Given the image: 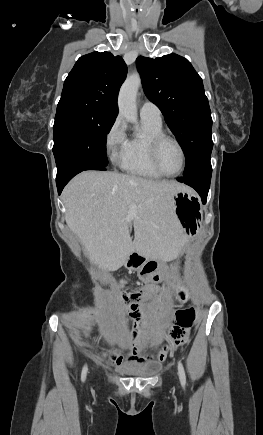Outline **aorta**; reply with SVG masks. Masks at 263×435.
Returning a JSON list of instances; mask_svg holds the SVG:
<instances>
[{
	"instance_id": "1",
	"label": "aorta",
	"mask_w": 263,
	"mask_h": 435,
	"mask_svg": "<svg viewBox=\"0 0 263 435\" xmlns=\"http://www.w3.org/2000/svg\"><path fill=\"white\" fill-rule=\"evenodd\" d=\"M140 85V76L133 74L127 77L119 92V113L131 123L137 122L136 95Z\"/></svg>"
}]
</instances>
